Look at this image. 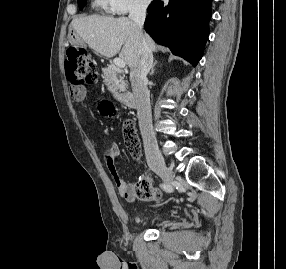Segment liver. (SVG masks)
I'll return each instance as SVG.
<instances>
[{"label":"liver","instance_id":"obj_1","mask_svg":"<svg viewBox=\"0 0 286 269\" xmlns=\"http://www.w3.org/2000/svg\"><path fill=\"white\" fill-rule=\"evenodd\" d=\"M71 26L90 48L102 56L111 58L120 52L119 58L131 69L140 60L141 40L151 52L156 51L152 38L147 34L140 35L134 22L126 17H79L72 20Z\"/></svg>","mask_w":286,"mask_h":269}]
</instances>
